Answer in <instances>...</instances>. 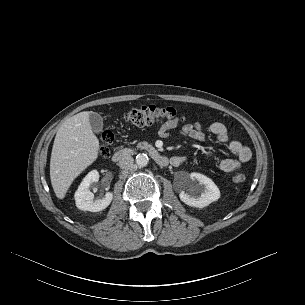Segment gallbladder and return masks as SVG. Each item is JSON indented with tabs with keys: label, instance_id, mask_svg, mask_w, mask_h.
I'll return each mask as SVG.
<instances>
[{
	"label": "gallbladder",
	"instance_id": "obj_1",
	"mask_svg": "<svg viewBox=\"0 0 305 305\" xmlns=\"http://www.w3.org/2000/svg\"><path fill=\"white\" fill-rule=\"evenodd\" d=\"M89 122L92 130L99 134L103 130V118L97 112H91L89 115Z\"/></svg>",
	"mask_w": 305,
	"mask_h": 305
}]
</instances>
